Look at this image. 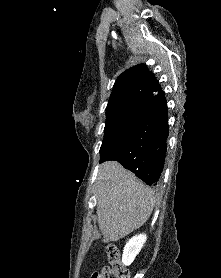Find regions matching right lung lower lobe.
<instances>
[{
    "mask_svg": "<svg viewBox=\"0 0 221 278\" xmlns=\"http://www.w3.org/2000/svg\"><path fill=\"white\" fill-rule=\"evenodd\" d=\"M147 105L153 108V113L100 163L116 160L146 184L156 185L163 170L169 133L164 93L150 98Z\"/></svg>",
    "mask_w": 221,
    "mask_h": 278,
    "instance_id": "1",
    "label": "right lung lower lobe"
}]
</instances>
